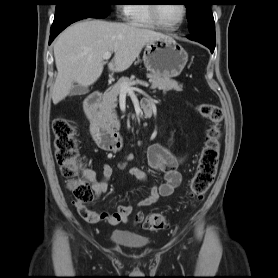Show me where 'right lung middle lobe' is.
I'll return each mask as SVG.
<instances>
[{"instance_id":"obj_1","label":"right lung middle lobe","mask_w":278,"mask_h":278,"mask_svg":"<svg viewBox=\"0 0 278 278\" xmlns=\"http://www.w3.org/2000/svg\"><path fill=\"white\" fill-rule=\"evenodd\" d=\"M112 0H55V17L52 26L73 17L105 18L110 14Z\"/></svg>"}]
</instances>
